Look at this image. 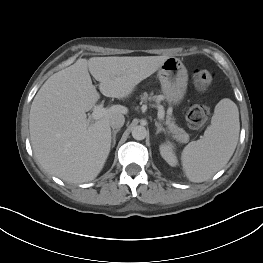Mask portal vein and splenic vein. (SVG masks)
Instances as JSON below:
<instances>
[{"instance_id":"portal-vein-and-splenic-vein-1","label":"portal vein and splenic vein","mask_w":263,"mask_h":263,"mask_svg":"<svg viewBox=\"0 0 263 263\" xmlns=\"http://www.w3.org/2000/svg\"><path fill=\"white\" fill-rule=\"evenodd\" d=\"M106 113H107V109L103 107V104H98L94 106L90 120H98L102 118ZM158 119L159 120L164 119V111L161 106L158 107Z\"/></svg>"}]
</instances>
